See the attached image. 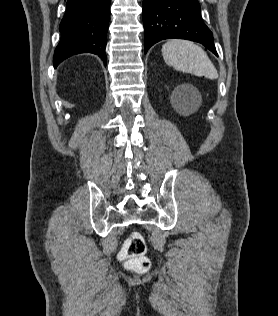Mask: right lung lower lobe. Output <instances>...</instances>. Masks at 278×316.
Segmentation results:
<instances>
[{
  "instance_id": "right-lung-lower-lobe-1",
  "label": "right lung lower lobe",
  "mask_w": 278,
  "mask_h": 316,
  "mask_svg": "<svg viewBox=\"0 0 278 316\" xmlns=\"http://www.w3.org/2000/svg\"><path fill=\"white\" fill-rule=\"evenodd\" d=\"M110 0H68L60 23L61 39L54 53V67L79 53L97 54L106 65L105 47Z\"/></svg>"
}]
</instances>
